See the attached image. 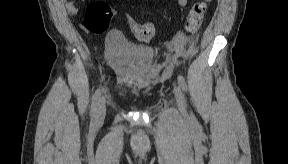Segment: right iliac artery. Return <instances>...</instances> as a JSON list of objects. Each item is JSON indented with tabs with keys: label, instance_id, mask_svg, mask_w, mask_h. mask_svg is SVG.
Returning a JSON list of instances; mask_svg holds the SVG:
<instances>
[{
	"label": "right iliac artery",
	"instance_id": "obj_1",
	"mask_svg": "<svg viewBox=\"0 0 288 164\" xmlns=\"http://www.w3.org/2000/svg\"><path fill=\"white\" fill-rule=\"evenodd\" d=\"M101 97V90L98 88L93 96L92 105H91V119L93 121L97 120V111Z\"/></svg>",
	"mask_w": 288,
	"mask_h": 164
}]
</instances>
